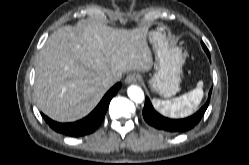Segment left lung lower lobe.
<instances>
[{
    "label": "left lung lower lobe",
    "mask_w": 249,
    "mask_h": 165,
    "mask_svg": "<svg viewBox=\"0 0 249 165\" xmlns=\"http://www.w3.org/2000/svg\"><path fill=\"white\" fill-rule=\"evenodd\" d=\"M210 58V57H209ZM212 88L209 92L208 100L205 105L194 115L184 119H169L160 115L153 108L148 97L145 99V105L143 108L144 120L153 128L168 134L184 133L192 129L201 120L204 115L210 101Z\"/></svg>",
    "instance_id": "left-lung-lower-lobe-1"
}]
</instances>
